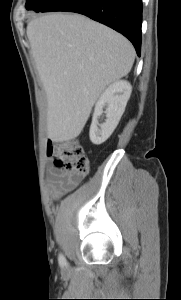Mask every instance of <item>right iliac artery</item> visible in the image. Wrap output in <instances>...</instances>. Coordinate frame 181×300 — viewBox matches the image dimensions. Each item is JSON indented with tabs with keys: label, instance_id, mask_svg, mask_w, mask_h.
Returning a JSON list of instances; mask_svg holds the SVG:
<instances>
[{
	"label": "right iliac artery",
	"instance_id": "82829eb1",
	"mask_svg": "<svg viewBox=\"0 0 181 300\" xmlns=\"http://www.w3.org/2000/svg\"><path fill=\"white\" fill-rule=\"evenodd\" d=\"M59 264H60L62 267H63V266H66V264H67L66 259H65V257H64L62 254L59 255Z\"/></svg>",
	"mask_w": 181,
	"mask_h": 300
}]
</instances>
